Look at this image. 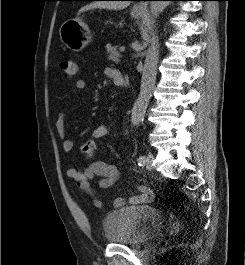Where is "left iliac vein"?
Returning a JSON list of instances; mask_svg holds the SVG:
<instances>
[{
  "label": "left iliac vein",
  "instance_id": "1",
  "mask_svg": "<svg viewBox=\"0 0 245 265\" xmlns=\"http://www.w3.org/2000/svg\"><path fill=\"white\" fill-rule=\"evenodd\" d=\"M153 155L151 153H148L146 158H145V166L148 170H152L153 169Z\"/></svg>",
  "mask_w": 245,
  "mask_h": 265
}]
</instances>
